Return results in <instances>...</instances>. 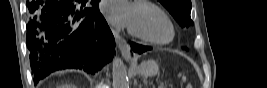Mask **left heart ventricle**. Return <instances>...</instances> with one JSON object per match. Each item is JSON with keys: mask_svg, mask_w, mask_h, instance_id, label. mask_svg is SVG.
Instances as JSON below:
<instances>
[{"mask_svg": "<svg viewBox=\"0 0 267 88\" xmlns=\"http://www.w3.org/2000/svg\"><path fill=\"white\" fill-rule=\"evenodd\" d=\"M130 27L155 40H165L171 35L168 22L157 12L146 7H133Z\"/></svg>", "mask_w": 267, "mask_h": 88, "instance_id": "left-heart-ventricle-1", "label": "left heart ventricle"}]
</instances>
